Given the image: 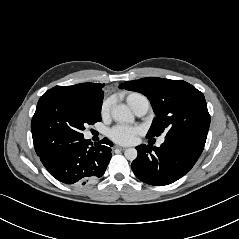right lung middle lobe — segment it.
<instances>
[{
	"instance_id": "dd1d6c3e",
	"label": "right lung middle lobe",
	"mask_w": 239,
	"mask_h": 239,
	"mask_svg": "<svg viewBox=\"0 0 239 239\" xmlns=\"http://www.w3.org/2000/svg\"><path fill=\"white\" fill-rule=\"evenodd\" d=\"M102 97L55 86L38 101L31 122L35 150L65 135H82L85 126L101 121Z\"/></svg>"
}]
</instances>
